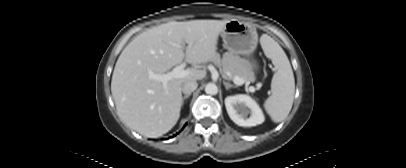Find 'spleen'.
I'll use <instances>...</instances> for the list:
<instances>
[{
    "label": "spleen",
    "mask_w": 406,
    "mask_h": 168,
    "mask_svg": "<svg viewBox=\"0 0 406 168\" xmlns=\"http://www.w3.org/2000/svg\"><path fill=\"white\" fill-rule=\"evenodd\" d=\"M265 55L271 59L277 71L271 81V96L264 108L275 123L283 121L290 113L294 101L295 79L291 64L281 46L267 35L261 37Z\"/></svg>",
    "instance_id": "1"
}]
</instances>
